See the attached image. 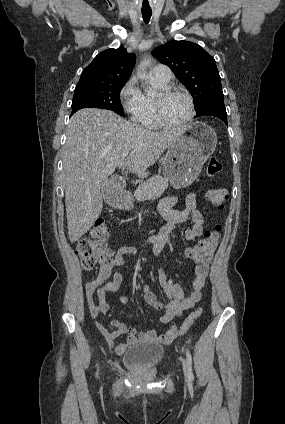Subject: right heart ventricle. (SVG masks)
Here are the masks:
<instances>
[{
    "mask_svg": "<svg viewBox=\"0 0 285 424\" xmlns=\"http://www.w3.org/2000/svg\"><path fill=\"white\" fill-rule=\"evenodd\" d=\"M156 84L162 88L166 89L167 85L162 84L158 81H156ZM139 122L149 128V129H159L161 128L160 123L157 120L156 117V111H155V99L149 96H144V109L142 112V115L139 119Z\"/></svg>",
    "mask_w": 285,
    "mask_h": 424,
    "instance_id": "right-heart-ventricle-1",
    "label": "right heart ventricle"
}]
</instances>
